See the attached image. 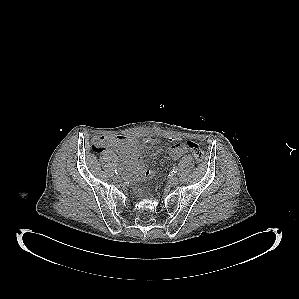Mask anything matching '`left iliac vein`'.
Instances as JSON below:
<instances>
[{"mask_svg": "<svg viewBox=\"0 0 299 299\" xmlns=\"http://www.w3.org/2000/svg\"><path fill=\"white\" fill-rule=\"evenodd\" d=\"M169 183L171 186H176L179 183V178L174 176L170 179Z\"/></svg>", "mask_w": 299, "mask_h": 299, "instance_id": "obj_1", "label": "left iliac vein"}]
</instances>
